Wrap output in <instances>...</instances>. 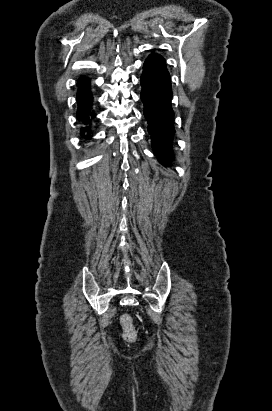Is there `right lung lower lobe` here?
I'll return each instance as SVG.
<instances>
[{"label":"right lung lower lobe","mask_w":272,"mask_h":411,"mask_svg":"<svg viewBox=\"0 0 272 411\" xmlns=\"http://www.w3.org/2000/svg\"><path fill=\"white\" fill-rule=\"evenodd\" d=\"M89 82L90 79L78 84L79 88L77 93V118L85 124H89L91 119L95 117V113L92 111L93 95L90 92ZM85 132L87 133V137H90L91 131L89 130V127L81 129L82 134Z\"/></svg>","instance_id":"obj_1"}]
</instances>
